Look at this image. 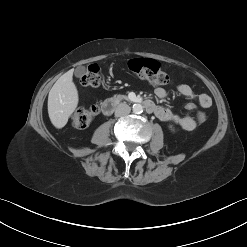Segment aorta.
Instances as JSON below:
<instances>
[{"mask_svg": "<svg viewBox=\"0 0 247 247\" xmlns=\"http://www.w3.org/2000/svg\"><path fill=\"white\" fill-rule=\"evenodd\" d=\"M132 110L135 114H140L143 112V106L141 104H134Z\"/></svg>", "mask_w": 247, "mask_h": 247, "instance_id": "762f6f07", "label": "aorta"}]
</instances>
